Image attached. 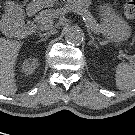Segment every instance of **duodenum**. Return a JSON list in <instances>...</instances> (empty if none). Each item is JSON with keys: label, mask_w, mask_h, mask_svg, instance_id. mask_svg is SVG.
<instances>
[{"label": "duodenum", "mask_w": 135, "mask_h": 135, "mask_svg": "<svg viewBox=\"0 0 135 135\" xmlns=\"http://www.w3.org/2000/svg\"><path fill=\"white\" fill-rule=\"evenodd\" d=\"M3 28L6 34L20 38L26 36L32 30L33 22L32 20H24L16 23L12 20H7L4 22Z\"/></svg>", "instance_id": "obj_1"}]
</instances>
